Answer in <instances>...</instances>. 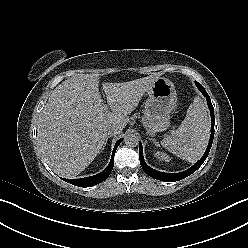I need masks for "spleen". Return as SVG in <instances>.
I'll use <instances>...</instances> for the list:
<instances>
[{"mask_svg":"<svg viewBox=\"0 0 248 248\" xmlns=\"http://www.w3.org/2000/svg\"><path fill=\"white\" fill-rule=\"evenodd\" d=\"M209 135L210 120L207 108L198 96L189 106L179 128L166 136L161 144L169 152L193 163L203 155Z\"/></svg>","mask_w":248,"mask_h":248,"instance_id":"1","label":"spleen"}]
</instances>
